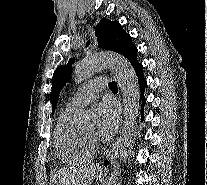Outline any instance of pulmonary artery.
<instances>
[{
    "label": "pulmonary artery",
    "instance_id": "1",
    "mask_svg": "<svg viewBox=\"0 0 207 185\" xmlns=\"http://www.w3.org/2000/svg\"><path fill=\"white\" fill-rule=\"evenodd\" d=\"M101 82H107V77H98V81H89V86H81V92L72 97L67 109L74 111L95 99L98 92L102 90Z\"/></svg>",
    "mask_w": 207,
    "mask_h": 185
}]
</instances>
